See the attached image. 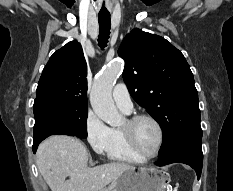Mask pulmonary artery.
I'll return each mask as SVG.
<instances>
[{
    "instance_id": "obj_1",
    "label": "pulmonary artery",
    "mask_w": 233,
    "mask_h": 191,
    "mask_svg": "<svg viewBox=\"0 0 233 191\" xmlns=\"http://www.w3.org/2000/svg\"><path fill=\"white\" fill-rule=\"evenodd\" d=\"M113 100L116 106L125 113L132 111V101L124 83H119L113 90Z\"/></svg>"
}]
</instances>
